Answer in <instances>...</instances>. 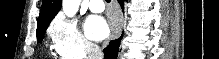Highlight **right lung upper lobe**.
I'll list each match as a JSON object with an SVG mask.
<instances>
[{
  "label": "right lung upper lobe",
  "mask_w": 219,
  "mask_h": 59,
  "mask_svg": "<svg viewBox=\"0 0 219 59\" xmlns=\"http://www.w3.org/2000/svg\"><path fill=\"white\" fill-rule=\"evenodd\" d=\"M60 8L61 0H43L37 21V29L48 26L51 20L59 12Z\"/></svg>",
  "instance_id": "right-lung-upper-lobe-1"
}]
</instances>
